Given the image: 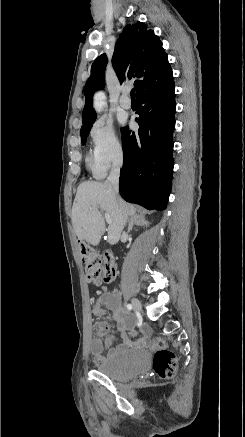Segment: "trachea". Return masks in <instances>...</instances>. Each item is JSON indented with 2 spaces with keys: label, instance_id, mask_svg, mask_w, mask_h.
Masks as SVG:
<instances>
[{
  "label": "trachea",
  "instance_id": "1",
  "mask_svg": "<svg viewBox=\"0 0 245 437\" xmlns=\"http://www.w3.org/2000/svg\"><path fill=\"white\" fill-rule=\"evenodd\" d=\"M130 96H131V98H134V97H135V88H133V89L131 90V92H130Z\"/></svg>",
  "mask_w": 245,
  "mask_h": 437
}]
</instances>
